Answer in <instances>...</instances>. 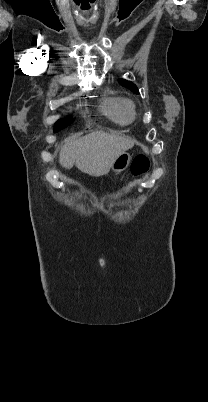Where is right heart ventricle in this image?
I'll list each match as a JSON object with an SVG mask.
<instances>
[{"label":"right heart ventricle","instance_id":"1","mask_svg":"<svg viewBox=\"0 0 208 402\" xmlns=\"http://www.w3.org/2000/svg\"><path fill=\"white\" fill-rule=\"evenodd\" d=\"M100 108L108 119L119 126H128L135 120V114L128 110L121 97L106 95L101 100Z\"/></svg>","mask_w":208,"mask_h":402}]
</instances>
